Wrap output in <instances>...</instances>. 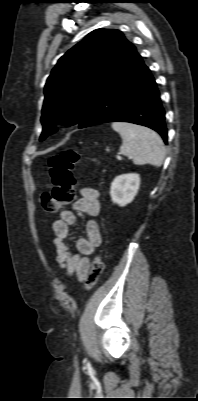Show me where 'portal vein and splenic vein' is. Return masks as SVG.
I'll use <instances>...</instances> for the list:
<instances>
[{
    "label": "portal vein and splenic vein",
    "mask_w": 198,
    "mask_h": 401,
    "mask_svg": "<svg viewBox=\"0 0 198 401\" xmlns=\"http://www.w3.org/2000/svg\"><path fill=\"white\" fill-rule=\"evenodd\" d=\"M116 158H117L118 160H121V157H120V156H117Z\"/></svg>",
    "instance_id": "portal-vein-and-splenic-vein-1"
}]
</instances>
